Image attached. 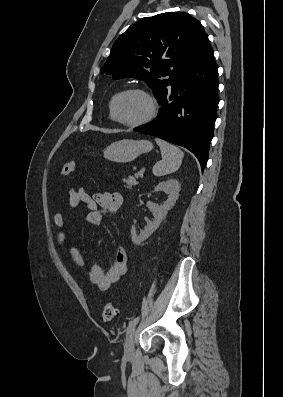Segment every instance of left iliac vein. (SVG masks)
<instances>
[{
  "mask_svg": "<svg viewBox=\"0 0 283 397\" xmlns=\"http://www.w3.org/2000/svg\"><path fill=\"white\" fill-rule=\"evenodd\" d=\"M135 328H136V325L131 327L128 330V333H127L124 355L128 359L132 358L134 356V334H135Z\"/></svg>",
  "mask_w": 283,
  "mask_h": 397,
  "instance_id": "left-iliac-vein-1",
  "label": "left iliac vein"
}]
</instances>
